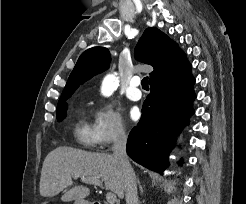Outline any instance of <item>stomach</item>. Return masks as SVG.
<instances>
[{
	"mask_svg": "<svg viewBox=\"0 0 246 204\" xmlns=\"http://www.w3.org/2000/svg\"><path fill=\"white\" fill-rule=\"evenodd\" d=\"M74 204H90V203L86 200H81V201H75Z\"/></svg>",
	"mask_w": 246,
	"mask_h": 204,
	"instance_id": "stomach-1",
	"label": "stomach"
}]
</instances>
